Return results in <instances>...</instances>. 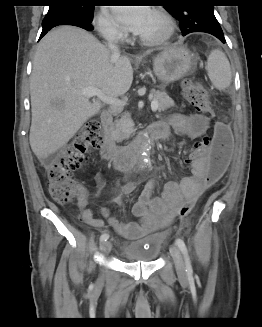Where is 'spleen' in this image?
Here are the masks:
<instances>
[{"label":"spleen","instance_id":"obj_1","mask_svg":"<svg viewBox=\"0 0 262 327\" xmlns=\"http://www.w3.org/2000/svg\"><path fill=\"white\" fill-rule=\"evenodd\" d=\"M209 79L216 89L224 90L229 87L232 79L231 68L225 54L215 49L211 51L206 66Z\"/></svg>","mask_w":262,"mask_h":327}]
</instances>
